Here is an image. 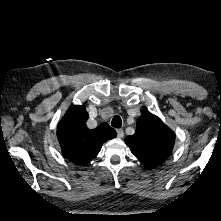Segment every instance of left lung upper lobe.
Here are the masks:
<instances>
[{
	"label": "left lung upper lobe",
	"instance_id": "obj_1",
	"mask_svg": "<svg viewBox=\"0 0 221 221\" xmlns=\"http://www.w3.org/2000/svg\"><path fill=\"white\" fill-rule=\"evenodd\" d=\"M125 142L145 166L155 167L171 154L175 134L160 118L144 112L137 120L135 133Z\"/></svg>",
	"mask_w": 221,
	"mask_h": 221
}]
</instances>
